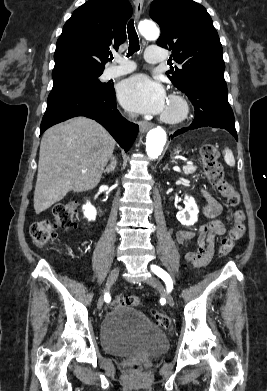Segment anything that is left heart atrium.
Returning <instances> with one entry per match:
<instances>
[{
  "mask_svg": "<svg viewBox=\"0 0 267 391\" xmlns=\"http://www.w3.org/2000/svg\"><path fill=\"white\" fill-rule=\"evenodd\" d=\"M118 98L125 108L137 113L156 114L166 107L163 86L143 74L124 80L118 88Z\"/></svg>",
  "mask_w": 267,
  "mask_h": 391,
  "instance_id": "39dd6f15",
  "label": "left heart atrium"
}]
</instances>
